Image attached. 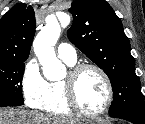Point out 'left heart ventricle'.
Listing matches in <instances>:
<instances>
[{"label":"left heart ventricle","instance_id":"1","mask_svg":"<svg viewBox=\"0 0 145 124\" xmlns=\"http://www.w3.org/2000/svg\"><path fill=\"white\" fill-rule=\"evenodd\" d=\"M75 88L77 98L86 111H96L106 101L107 90L105 83L94 70H86L81 73L76 81Z\"/></svg>","mask_w":145,"mask_h":124}]
</instances>
